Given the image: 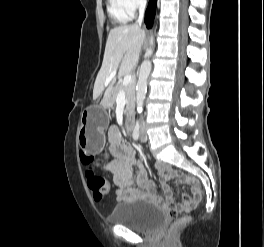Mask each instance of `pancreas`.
<instances>
[{"instance_id":"1","label":"pancreas","mask_w":264,"mask_h":247,"mask_svg":"<svg viewBox=\"0 0 264 247\" xmlns=\"http://www.w3.org/2000/svg\"><path fill=\"white\" fill-rule=\"evenodd\" d=\"M124 90L126 93V107H125V113L128 114L130 109L132 108L133 102H134V93L130 88H124L122 85H118L114 89H112L111 97H108V99L104 102V106H112L116 100L117 94L119 91Z\"/></svg>"}]
</instances>
